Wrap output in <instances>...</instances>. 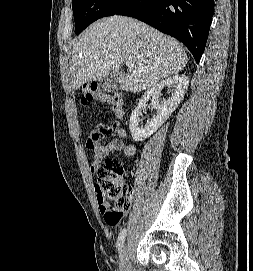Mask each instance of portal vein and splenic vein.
<instances>
[{"mask_svg": "<svg viewBox=\"0 0 253 271\" xmlns=\"http://www.w3.org/2000/svg\"><path fill=\"white\" fill-rule=\"evenodd\" d=\"M126 65L128 68H133L134 67V63L132 61H126Z\"/></svg>", "mask_w": 253, "mask_h": 271, "instance_id": "18ae733b", "label": "portal vein and splenic vein"}]
</instances>
